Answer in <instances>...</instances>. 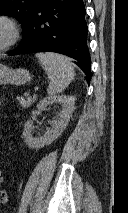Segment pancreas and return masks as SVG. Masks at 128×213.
I'll return each instance as SVG.
<instances>
[{"instance_id":"obj_1","label":"pancreas","mask_w":128,"mask_h":213,"mask_svg":"<svg viewBox=\"0 0 128 213\" xmlns=\"http://www.w3.org/2000/svg\"><path fill=\"white\" fill-rule=\"evenodd\" d=\"M16 100L24 109L29 108L32 105V103L35 102V99L31 98V97L23 98V97L18 96V97H16Z\"/></svg>"}]
</instances>
